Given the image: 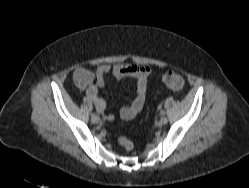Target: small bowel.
I'll return each instance as SVG.
<instances>
[{
    "mask_svg": "<svg viewBox=\"0 0 249 188\" xmlns=\"http://www.w3.org/2000/svg\"><path fill=\"white\" fill-rule=\"evenodd\" d=\"M111 72L116 79L131 78L136 85L133 101L130 105L124 106L120 110V116L125 119H132L142 109L147 92L148 77L152 73L149 66H138L133 64H108L99 65L95 74L84 68L74 71V81L78 88L85 91L87 98L93 102L97 112L103 113L106 109V102L99 97L98 89L104 87L105 77ZM107 120H113V115H107Z\"/></svg>",
    "mask_w": 249,
    "mask_h": 188,
    "instance_id": "1",
    "label": "small bowel"
}]
</instances>
